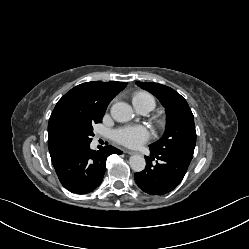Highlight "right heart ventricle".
Listing matches in <instances>:
<instances>
[{
  "mask_svg": "<svg viewBox=\"0 0 249 249\" xmlns=\"http://www.w3.org/2000/svg\"><path fill=\"white\" fill-rule=\"evenodd\" d=\"M132 102L135 108H138V107H141L147 104H151L153 108L155 106L154 98L150 94L144 93V92L136 93L132 98Z\"/></svg>",
  "mask_w": 249,
  "mask_h": 249,
  "instance_id": "1",
  "label": "right heart ventricle"
}]
</instances>
